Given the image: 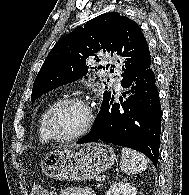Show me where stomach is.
Listing matches in <instances>:
<instances>
[{
	"label": "stomach",
	"instance_id": "obj_1",
	"mask_svg": "<svg viewBox=\"0 0 189 195\" xmlns=\"http://www.w3.org/2000/svg\"><path fill=\"white\" fill-rule=\"evenodd\" d=\"M116 161L112 147L102 143L66 146L49 152L41 163L43 173L56 180H90Z\"/></svg>",
	"mask_w": 189,
	"mask_h": 195
}]
</instances>
